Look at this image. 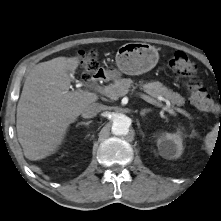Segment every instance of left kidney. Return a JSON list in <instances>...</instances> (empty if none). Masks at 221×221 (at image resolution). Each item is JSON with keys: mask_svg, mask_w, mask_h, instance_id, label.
<instances>
[{"mask_svg": "<svg viewBox=\"0 0 221 221\" xmlns=\"http://www.w3.org/2000/svg\"><path fill=\"white\" fill-rule=\"evenodd\" d=\"M182 132L162 133L157 140V147L162 157L166 159L179 158L183 152Z\"/></svg>", "mask_w": 221, "mask_h": 221, "instance_id": "1", "label": "left kidney"}]
</instances>
